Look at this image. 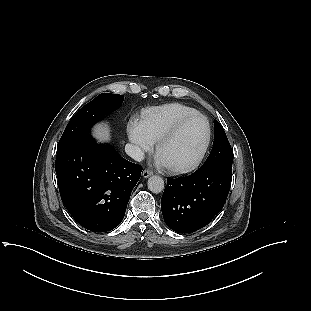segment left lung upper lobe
Returning <instances> with one entry per match:
<instances>
[{"label": "left lung upper lobe", "mask_w": 311, "mask_h": 311, "mask_svg": "<svg viewBox=\"0 0 311 311\" xmlns=\"http://www.w3.org/2000/svg\"><path fill=\"white\" fill-rule=\"evenodd\" d=\"M214 128L213 148L201 167L221 166L232 169V151L225 131L217 120L214 121Z\"/></svg>", "instance_id": "left-lung-upper-lobe-1"}]
</instances>
